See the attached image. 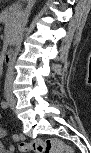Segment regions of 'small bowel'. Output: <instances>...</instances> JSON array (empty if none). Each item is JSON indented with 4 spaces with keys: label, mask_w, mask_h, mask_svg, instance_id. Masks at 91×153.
<instances>
[{
    "label": "small bowel",
    "mask_w": 91,
    "mask_h": 153,
    "mask_svg": "<svg viewBox=\"0 0 91 153\" xmlns=\"http://www.w3.org/2000/svg\"><path fill=\"white\" fill-rule=\"evenodd\" d=\"M6 136V131L1 129L0 130V138L3 139ZM18 139H23L21 136H14L13 140L16 141ZM0 151L4 153H11L14 151L13 146L6 147L3 143H0Z\"/></svg>",
    "instance_id": "1"
}]
</instances>
